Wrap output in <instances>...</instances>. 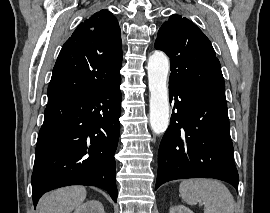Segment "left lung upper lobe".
<instances>
[{
    "instance_id": "left-lung-upper-lobe-1",
    "label": "left lung upper lobe",
    "mask_w": 270,
    "mask_h": 213,
    "mask_svg": "<svg viewBox=\"0 0 270 213\" xmlns=\"http://www.w3.org/2000/svg\"><path fill=\"white\" fill-rule=\"evenodd\" d=\"M155 48L170 58L169 86L226 101L220 62L209 39L190 20L171 15L158 31Z\"/></svg>"
}]
</instances>
